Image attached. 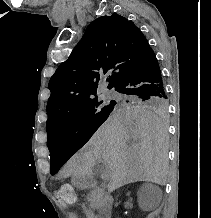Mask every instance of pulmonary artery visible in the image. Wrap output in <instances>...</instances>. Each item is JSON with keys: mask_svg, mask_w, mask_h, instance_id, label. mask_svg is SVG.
Listing matches in <instances>:
<instances>
[{"mask_svg": "<svg viewBox=\"0 0 211 218\" xmlns=\"http://www.w3.org/2000/svg\"><path fill=\"white\" fill-rule=\"evenodd\" d=\"M105 97L109 98L110 97V92L109 91H105Z\"/></svg>", "mask_w": 211, "mask_h": 218, "instance_id": "1", "label": "pulmonary artery"}]
</instances>
